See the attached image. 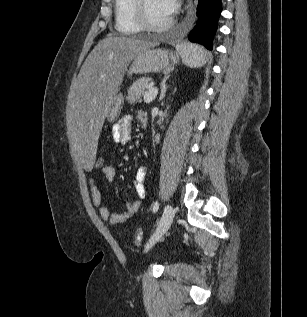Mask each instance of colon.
<instances>
[{
    "label": "colon",
    "mask_w": 307,
    "mask_h": 317,
    "mask_svg": "<svg viewBox=\"0 0 307 317\" xmlns=\"http://www.w3.org/2000/svg\"><path fill=\"white\" fill-rule=\"evenodd\" d=\"M105 166V160L102 156H97L96 159H95V164H94V167L96 169H102L103 167ZM141 230L140 229H136L135 232H134V241L135 243H139L140 240H141Z\"/></svg>",
    "instance_id": "1"
}]
</instances>
